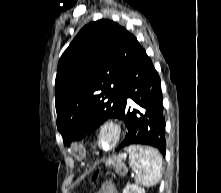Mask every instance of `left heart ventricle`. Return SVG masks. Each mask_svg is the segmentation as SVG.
<instances>
[{"instance_id": "b2bd125f", "label": "left heart ventricle", "mask_w": 221, "mask_h": 193, "mask_svg": "<svg viewBox=\"0 0 221 193\" xmlns=\"http://www.w3.org/2000/svg\"><path fill=\"white\" fill-rule=\"evenodd\" d=\"M113 140V135L111 132L107 131L103 134L101 142L104 147H108Z\"/></svg>"}]
</instances>
